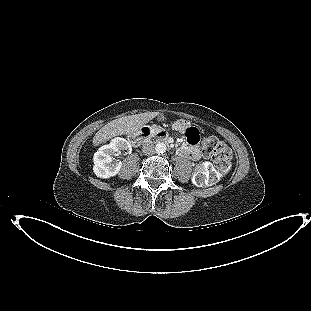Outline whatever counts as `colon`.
I'll return each mask as SVG.
<instances>
[{
    "mask_svg": "<svg viewBox=\"0 0 311 311\" xmlns=\"http://www.w3.org/2000/svg\"><path fill=\"white\" fill-rule=\"evenodd\" d=\"M191 138L198 140L197 130L191 132ZM202 152L212 160V164H201L194 181L198 186L213 184L223 177L231 167L232 152L230 148L216 137H207L202 143Z\"/></svg>",
    "mask_w": 311,
    "mask_h": 311,
    "instance_id": "colon-1",
    "label": "colon"
}]
</instances>
